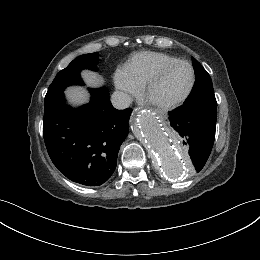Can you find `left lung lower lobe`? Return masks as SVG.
Listing matches in <instances>:
<instances>
[{
  "label": "left lung lower lobe",
  "mask_w": 260,
  "mask_h": 260,
  "mask_svg": "<svg viewBox=\"0 0 260 260\" xmlns=\"http://www.w3.org/2000/svg\"><path fill=\"white\" fill-rule=\"evenodd\" d=\"M217 102L203 101L169 112L174 135L189 151L193 169L201 171L211 153L216 131Z\"/></svg>",
  "instance_id": "0a47b994"
}]
</instances>
